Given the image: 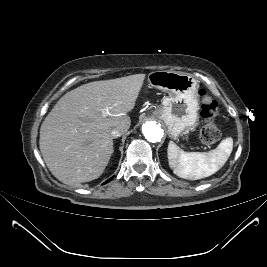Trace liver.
I'll use <instances>...</instances> for the list:
<instances>
[{"label":"liver","mask_w":267,"mask_h":267,"mask_svg":"<svg viewBox=\"0 0 267 267\" xmlns=\"http://www.w3.org/2000/svg\"><path fill=\"white\" fill-rule=\"evenodd\" d=\"M145 74L94 81L67 92L40 128L39 146L50 172L73 185L102 175L113 153L110 131L125 133ZM109 112L107 116L103 113Z\"/></svg>","instance_id":"obj_1"}]
</instances>
